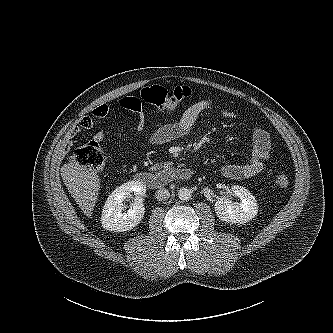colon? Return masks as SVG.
<instances>
[{"instance_id":"colon-1","label":"colon","mask_w":333,"mask_h":333,"mask_svg":"<svg viewBox=\"0 0 333 333\" xmlns=\"http://www.w3.org/2000/svg\"><path fill=\"white\" fill-rule=\"evenodd\" d=\"M192 95V90L186 86H179L173 90L158 85L146 87L141 91L140 98L161 110H173L184 99ZM69 161L83 165L92 170H100L105 163V153L97 142H89L75 149ZM278 187L285 188L289 184L286 174H279L275 179Z\"/></svg>"}]
</instances>
